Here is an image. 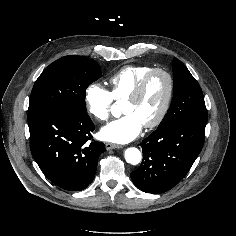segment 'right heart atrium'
<instances>
[{"instance_id": "obj_1", "label": "right heart atrium", "mask_w": 236, "mask_h": 236, "mask_svg": "<svg viewBox=\"0 0 236 236\" xmlns=\"http://www.w3.org/2000/svg\"><path fill=\"white\" fill-rule=\"evenodd\" d=\"M85 105L89 114L97 121H107L113 105V96L99 83L90 84L85 91Z\"/></svg>"}]
</instances>
